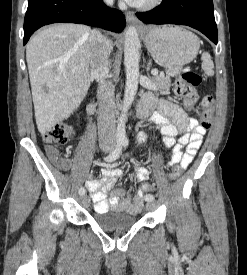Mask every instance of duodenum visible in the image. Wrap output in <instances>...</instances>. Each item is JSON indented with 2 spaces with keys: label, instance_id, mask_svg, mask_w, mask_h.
<instances>
[{
  "label": "duodenum",
  "instance_id": "410a0bca",
  "mask_svg": "<svg viewBox=\"0 0 247 275\" xmlns=\"http://www.w3.org/2000/svg\"><path fill=\"white\" fill-rule=\"evenodd\" d=\"M88 110H89L90 112H92V111L95 110V104H94L93 102H91V103L88 105ZM146 112H147L146 106H145L144 104L139 105V107H138V113H139L140 115H144Z\"/></svg>",
  "mask_w": 247,
  "mask_h": 275
}]
</instances>
